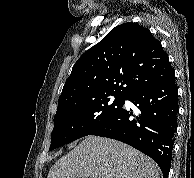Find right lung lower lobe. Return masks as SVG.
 Returning <instances> with one entry per match:
<instances>
[{"mask_svg":"<svg viewBox=\"0 0 194 178\" xmlns=\"http://www.w3.org/2000/svg\"><path fill=\"white\" fill-rule=\"evenodd\" d=\"M127 100L137 106L140 116L132 119L133 112L122 107L89 135L112 138L138 149L155 160L167 178L179 107L175 75L134 91Z\"/></svg>","mask_w":194,"mask_h":178,"instance_id":"obj_1","label":"right lung lower lobe"}]
</instances>
